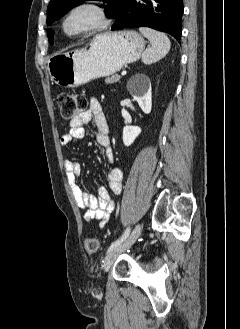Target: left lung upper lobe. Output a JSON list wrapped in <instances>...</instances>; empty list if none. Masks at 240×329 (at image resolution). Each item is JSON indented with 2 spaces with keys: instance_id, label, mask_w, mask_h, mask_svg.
<instances>
[{
  "instance_id": "5c2ea615",
  "label": "left lung upper lobe",
  "mask_w": 240,
  "mask_h": 329,
  "mask_svg": "<svg viewBox=\"0 0 240 329\" xmlns=\"http://www.w3.org/2000/svg\"><path fill=\"white\" fill-rule=\"evenodd\" d=\"M84 0H51L47 7V25L52 24L55 20L61 18L67 11ZM111 4V7L105 9L106 15L118 18L126 0H101ZM49 42L53 44L54 31L47 30Z\"/></svg>"
}]
</instances>
